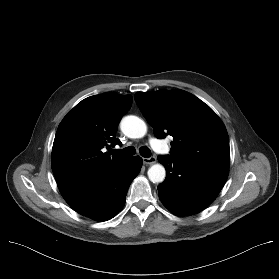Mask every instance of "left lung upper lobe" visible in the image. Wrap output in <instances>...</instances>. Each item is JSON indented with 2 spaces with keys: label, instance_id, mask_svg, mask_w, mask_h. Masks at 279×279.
Returning <instances> with one entry per match:
<instances>
[{
  "label": "left lung upper lobe",
  "instance_id": "1",
  "mask_svg": "<svg viewBox=\"0 0 279 279\" xmlns=\"http://www.w3.org/2000/svg\"><path fill=\"white\" fill-rule=\"evenodd\" d=\"M135 101L157 138L173 137L170 156L176 160L229 168L227 130L216 113L183 90L137 92Z\"/></svg>",
  "mask_w": 279,
  "mask_h": 279
}]
</instances>
